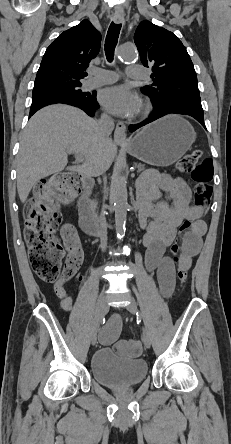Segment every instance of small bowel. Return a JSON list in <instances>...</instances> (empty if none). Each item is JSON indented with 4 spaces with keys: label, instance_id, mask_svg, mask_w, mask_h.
Here are the masks:
<instances>
[{
    "label": "small bowel",
    "instance_id": "c3829d8e",
    "mask_svg": "<svg viewBox=\"0 0 231 444\" xmlns=\"http://www.w3.org/2000/svg\"><path fill=\"white\" fill-rule=\"evenodd\" d=\"M162 193L168 195V200L162 199ZM138 197L140 225L146 229L143 237L146 266L156 271L161 294L169 297L175 287V263L165 251L172 244L182 222H194L192 231L185 237L183 252L178 260L179 269L188 270L191 267L206 231V225L201 220L203 209L190 204V189L184 180L156 172H149L140 179ZM61 236L68 250L83 254L81 241L73 225L64 224ZM55 291L61 308L70 312L73 307L72 296L59 284L55 286ZM120 331L121 321L118 316H114L100 333L101 343L112 344L118 339Z\"/></svg>",
    "mask_w": 231,
    "mask_h": 444
}]
</instances>
